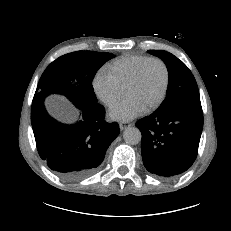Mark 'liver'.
I'll return each mask as SVG.
<instances>
[{
	"mask_svg": "<svg viewBox=\"0 0 231 231\" xmlns=\"http://www.w3.org/2000/svg\"><path fill=\"white\" fill-rule=\"evenodd\" d=\"M49 107H50L51 111L57 116L62 117L66 113L64 108L61 107V105L54 100L50 102Z\"/></svg>",
	"mask_w": 231,
	"mask_h": 231,
	"instance_id": "6515ba94",
	"label": "liver"
}]
</instances>
